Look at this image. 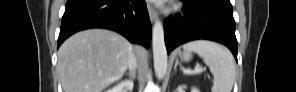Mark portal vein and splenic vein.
I'll list each match as a JSON object with an SVG mask.
<instances>
[{"mask_svg":"<svg viewBox=\"0 0 296 92\" xmlns=\"http://www.w3.org/2000/svg\"><path fill=\"white\" fill-rule=\"evenodd\" d=\"M204 70L201 67H196L194 70H184V73L186 74H197V73H201Z\"/></svg>","mask_w":296,"mask_h":92,"instance_id":"18ae733b","label":"portal vein and splenic vein"}]
</instances>
